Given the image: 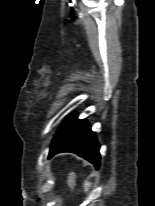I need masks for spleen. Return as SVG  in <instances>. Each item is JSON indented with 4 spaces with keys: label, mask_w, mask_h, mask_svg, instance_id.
<instances>
[{
    "label": "spleen",
    "mask_w": 155,
    "mask_h": 206,
    "mask_svg": "<svg viewBox=\"0 0 155 206\" xmlns=\"http://www.w3.org/2000/svg\"><path fill=\"white\" fill-rule=\"evenodd\" d=\"M91 187V183L89 181L84 182V191L88 192Z\"/></svg>",
    "instance_id": "obj_1"
}]
</instances>
